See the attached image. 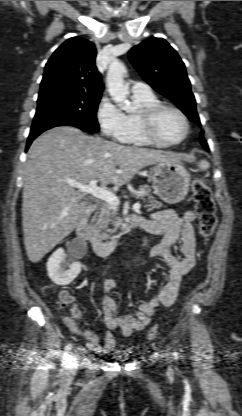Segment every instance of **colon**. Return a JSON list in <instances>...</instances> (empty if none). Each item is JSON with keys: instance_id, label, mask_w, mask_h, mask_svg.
<instances>
[{"instance_id": "obj_1", "label": "colon", "mask_w": 242, "mask_h": 416, "mask_svg": "<svg viewBox=\"0 0 242 416\" xmlns=\"http://www.w3.org/2000/svg\"><path fill=\"white\" fill-rule=\"evenodd\" d=\"M192 191L199 218L198 234L201 238L207 239L213 233L217 224L216 205L212 197V192L208 183L201 178L194 181ZM69 302V296L61 292L59 294L60 305L65 306ZM146 336L149 340L154 339L157 336V328H151Z\"/></svg>"}]
</instances>
